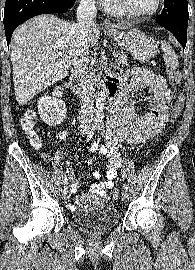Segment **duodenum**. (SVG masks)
<instances>
[{
	"mask_svg": "<svg viewBox=\"0 0 195 270\" xmlns=\"http://www.w3.org/2000/svg\"><path fill=\"white\" fill-rule=\"evenodd\" d=\"M70 83L73 91L78 94L80 97H84L86 95V84L81 79V75L79 70H74L70 77ZM105 96L108 100L110 106L114 105L118 99L117 85L115 82L108 77L105 84Z\"/></svg>",
	"mask_w": 195,
	"mask_h": 270,
	"instance_id": "410a0bca",
	"label": "duodenum"
}]
</instances>
